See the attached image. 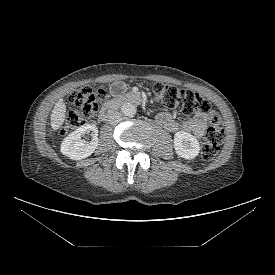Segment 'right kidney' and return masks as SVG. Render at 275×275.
I'll list each match as a JSON object with an SVG mask.
<instances>
[{"label":"right kidney","mask_w":275,"mask_h":275,"mask_svg":"<svg viewBox=\"0 0 275 275\" xmlns=\"http://www.w3.org/2000/svg\"><path fill=\"white\" fill-rule=\"evenodd\" d=\"M92 131V140L85 143L81 136ZM98 130L94 124H85L73 131L61 144V153L72 160H81L90 156L98 146Z\"/></svg>","instance_id":"ca27d5eb"}]
</instances>
